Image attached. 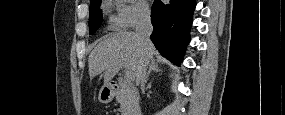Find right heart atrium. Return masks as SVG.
<instances>
[{
    "label": "right heart atrium",
    "mask_w": 285,
    "mask_h": 115,
    "mask_svg": "<svg viewBox=\"0 0 285 115\" xmlns=\"http://www.w3.org/2000/svg\"><path fill=\"white\" fill-rule=\"evenodd\" d=\"M150 11L145 1H119L117 6V26L134 28L149 20Z\"/></svg>",
    "instance_id": "d8ad5b80"
}]
</instances>
